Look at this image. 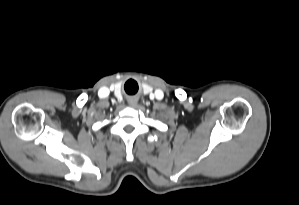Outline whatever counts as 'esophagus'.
I'll use <instances>...</instances> for the list:
<instances>
[{"mask_svg":"<svg viewBox=\"0 0 299 205\" xmlns=\"http://www.w3.org/2000/svg\"><path fill=\"white\" fill-rule=\"evenodd\" d=\"M128 103H129L130 106H135L137 104V101H136V99H130L128 101Z\"/></svg>","mask_w":299,"mask_h":205,"instance_id":"obj_1","label":"esophagus"}]
</instances>
